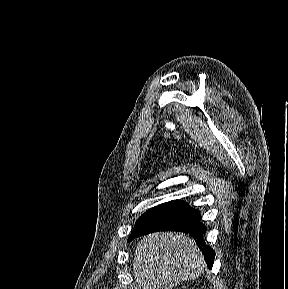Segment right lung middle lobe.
I'll return each mask as SVG.
<instances>
[{"instance_id": "right-lung-middle-lobe-1", "label": "right lung middle lobe", "mask_w": 288, "mask_h": 289, "mask_svg": "<svg viewBox=\"0 0 288 289\" xmlns=\"http://www.w3.org/2000/svg\"><path fill=\"white\" fill-rule=\"evenodd\" d=\"M178 201H171L164 204H161L159 206H156L147 212H145L136 222L135 227L129 237H133L137 232L142 230L144 227H146L149 223L154 221L159 216L163 215L164 213L168 212L170 209H172L175 205H177ZM128 239V240H129Z\"/></svg>"}]
</instances>
